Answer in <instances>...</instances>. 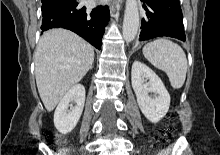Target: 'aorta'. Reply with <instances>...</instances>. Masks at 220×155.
Wrapping results in <instances>:
<instances>
[{
  "label": "aorta",
  "instance_id": "aorta-1",
  "mask_svg": "<svg viewBox=\"0 0 220 155\" xmlns=\"http://www.w3.org/2000/svg\"><path fill=\"white\" fill-rule=\"evenodd\" d=\"M139 28V10L137 0H126L124 20H123V38L126 42L135 39Z\"/></svg>",
  "mask_w": 220,
  "mask_h": 155
}]
</instances>
